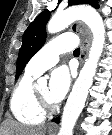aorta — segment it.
<instances>
[{
    "mask_svg": "<svg viewBox=\"0 0 112 135\" xmlns=\"http://www.w3.org/2000/svg\"><path fill=\"white\" fill-rule=\"evenodd\" d=\"M75 20L85 22L93 34V41L88 58L64 106L58 135H73L74 126L84 108L89 89L93 84V78L105 43V26L102 17L90 6L72 7L63 12L56 13L50 19L47 30L49 33H57Z\"/></svg>",
    "mask_w": 112,
    "mask_h": 135,
    "instance_id": "1",
    "label": "aorta"
}]
</instances>
